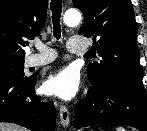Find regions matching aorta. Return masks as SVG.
Listing matches in <instances>:
<instances>
[{"instance_id":"762f6f07","label":"aorta","mask_w":147,"mask_h":131,"mask_svg":"<svg viewBox=\"0 0 147 131\" xmlns=\"http://www.w3.org/2000/svg\"><path fill=\"white\" fill-rule=\"evenodd\" d=\"M63 20L67 26L73 27L80 23L81 14L77 10H67L64 14Z\"/></svg>"}]
</instances>
